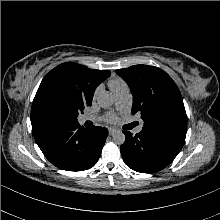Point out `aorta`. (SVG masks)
Segmentation results:
<instances>
[{"label": "aorta", "mask_w": 220, "mask_h": 220, "mask_svg": "<svg viewBox=\"0 0 220 220\" xmlns=\"http://www.w3.org/2000/svg\"><path fill=\"white\" fill-rule=\"evenodd\" d=\"M98 104L103 107L107 108L112 106L114 100L113 96L108 92L100 93L97 97ZM113 141L115 144L121 145L125 142V135L122 131H117L113 134Z\"/></svg>", "instance_id": "1"}]
</instances>
